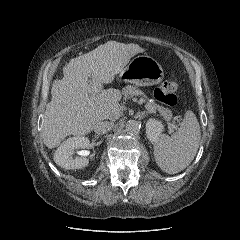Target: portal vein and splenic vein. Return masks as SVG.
<instances>
[{"label":"portal vein and splenic vein","instance_id":"1","mask_svg":"<svg viewBox=\"0 0 240 240\" xmlns=\"http://www.w3.org/2000/svg\"><path fill=\"white\" fill-rule=\"evenodd\" d=\"M100 91H101V86H98V87H95V88H94V94L99 93ZM138 102L141 103L142 101L139 100ZM145 108H146L149 112H151V113L156 112L153 107H151V106H149V105H147V104L145 105ZM168 126H169V129H170V132H172V131H173V128H174V125L171 124V123H168Z\"/></svg>","mask_w":240,"mask_h":240}]
</instances>
